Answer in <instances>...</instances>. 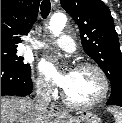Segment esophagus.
<instances>
[{"instance_id":"obj_1","label":"esophagus","mask_w":122,"mask_h":123,"mask_svg":"<svg viewBox=\"0 0 122 123\" xmlns=\"http://www.w3.org/2000/svg\"><path fill=\"white\" fill-rule=\"evenodd\" d=\"M50 111L53 115H56V116H64L66 114L65 111H63L60 107H58L55 104L51 105Z\"/></svg>"}]
</instances>
